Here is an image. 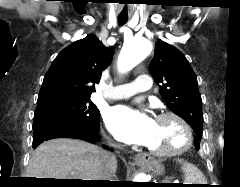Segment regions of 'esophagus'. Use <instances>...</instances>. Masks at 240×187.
<instances>
[{
  "label": "esophagus",
  "instance_id": "34e87169",
  "mask_svg": "<svg viewBox=\"0 0 240 187\" xmlns=\"http://www.w3.org/2000/svg\"><path fill=\"white\" fill-rule=\"evenodd\" d=\"M151 160H152V157L150 154H137L135 156V161L140 164L149 163Z\"/></svg>",
  "mask_w": 240,
  "mask_h": 187
}]
</instances>
